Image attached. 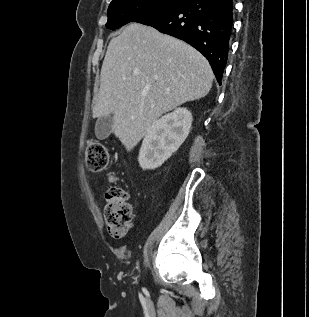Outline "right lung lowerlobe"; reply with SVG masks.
<instances>
[{
    "mask_svg": "<svg viewBox=\"0 0 309 317\" xmlns=\"http://www.w3.org/2000/svg\"><path fill=\"white\" fill-rule=\"evenodd\" d=\"M132 22L152 26L189 43L206 57L221 85L232 35V0H185Z\"/></svg>",
    "mask_w": 309,
    "mask_h": 317,
    "instance_id": "obj_1",
    "label": "right lung lower lobe"
}]
</instances>
